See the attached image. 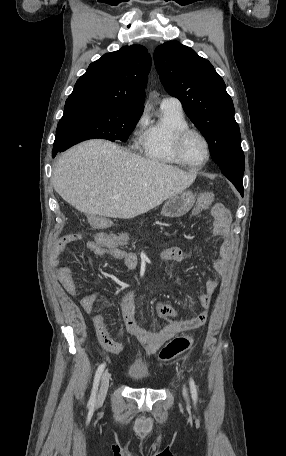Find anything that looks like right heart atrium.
Masks as SVG:
<instances>
[{
	"label": "right heart atrium",
	"mask_w": 286,
	"mask_h": 456,
	"mask_svg": "<svg viewBox=\"0 0 286 456\" xmlns=\"http://www.w3.org/2000/svg\"><path fill=\"white\" fill-rule=\"evenodd\" d=\"M145 121H146V116L145 114L143 113L137 120L136 122V125H135V130H134V137H135V140H138L139 136L141 135L142 133V128L145 124Z\"/></svg>",
	"instance_id": "1"
}]
</instances>
